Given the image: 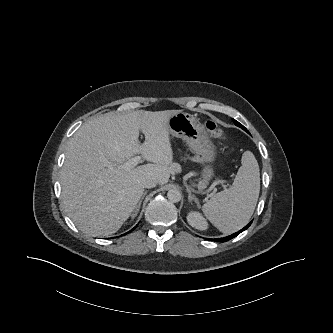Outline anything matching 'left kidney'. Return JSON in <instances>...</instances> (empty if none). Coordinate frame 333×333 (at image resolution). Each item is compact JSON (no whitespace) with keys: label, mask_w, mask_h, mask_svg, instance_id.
<instances>
[{"label":"left kidney","mask_w":333,"mask_h":333,"mask_svg":"<svg viewBox=\"0 0 333 333\" xmlns=\"http://www.w3.org/2000/svg\"><path fill=\"white\" fill-rule=\"evenodd\" d=\"M189 225L198 230H206L208 223L205 218L197 211H191L187 215Z\"/></svg>","instance_id":"5707ae66"}]
</instances>
